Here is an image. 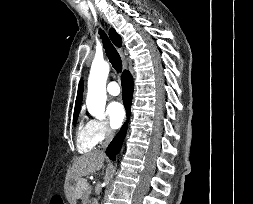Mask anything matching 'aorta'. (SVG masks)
Wrapping results in <instances>:
<instances>
[{
    "instance_id": "762f6f07",
    "label": "aorta",
    "mask_w": 253,
    "mask_h": 204,
    "mask_svg": "<svg viewBox=\"0 0 253 204\" xmlns=\"http://www.w3.org/2000/svg\"><path fill=\"white\" fill-rule=\"evenodd\" d=\"M109 70L107 62H94L88 79L87 109L92 116L100 120L105 118L106 81Z\"/></svg>"
}]
</instances>
